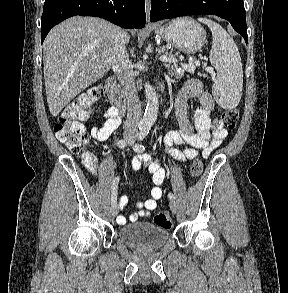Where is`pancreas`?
Segmentation results:
<instances>
[{"label": "pancreas", "instance_id": "cf45deb5", "mask_svg": "<svg viewBox=\"0 0 288 293\" xmlns=\"http://www.w3.org/2000/svg\"><path fill=\"white\" fill-rule=\"evenodd\" d=\"M189 64H193L192 62H190ZM165 67L168 69L169 74L171 76L177 77V78H182L184 76V68H181L178 71V65L177 63H173V62H167V64H165Z\"/></svg>", "mask_w": 288, "mask_h": 293}]
</instances>
